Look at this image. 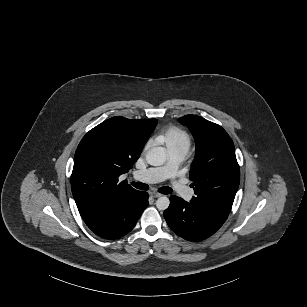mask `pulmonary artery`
<instances>
[{
  "label": "pulmonary artery",
  "instance_id": "1",
  "mask_svg": "<svg viewBox=\"0 0 307 307\" xmlns=\"http://www.w3.org/2000/svg\"><path fill=\"white\" fill-rule=\"evenodd\" d=\"M171 162L177 163L184 159L187 154L186 150H175L170 151ZM172 173L170 166L150 168L149 170L141 169L136 174V179L141 184H146L148 182L152 184H157L165 179H167ZM174 187L178 191V195L183 200H188L193 195V190L189 186V182L184 177H179L174 182Z\"/></svg>",
  "mask_w": 307,
  "mask_h": 307
}]
</instances>
